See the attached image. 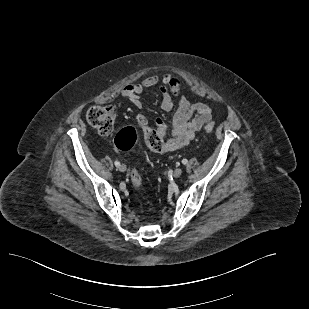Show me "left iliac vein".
Returning a JSON list of instances; mask_svg holds the SVG:
<instances>
[{"label":"left iliac vein","instance_id":"obj_1","mask_svg":"<svg viewBox=\"0 0 309 309\" xmlns=\"http://www.w3.org/2000/svg\"><path fill=\"white\" fill-rule=\"evenodd\" d=\"M182 175V169L181 168H176L175 170H174V172H173V176L175 177V178H178V177H180Z\"/></svg>","mask_w":309,"mask_h":309}]
</instances>
